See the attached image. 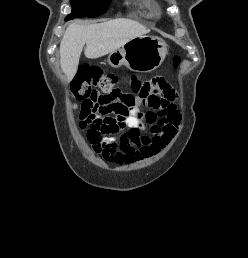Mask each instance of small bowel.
I'll list each match as a JSON object with an SVG mask.
<instances>
[{
	"instance_id": "1",
	"label": "small bowel",
	"mask_w": 248,
	"mask_h": 258,
	"mask_svg": "<svg viewBox=\"0 0 248 258\" xmlns=\"http://www.w3.org/2000/svg\"><path fill=\"white\" fill-rule=\"evenodd\" d=\"M114 95L117 103L131 114L125 127L110 132H121L119 137L90 140L93 150L103 160L118 165L130 164L156 156L170 144L178 131L180 115L174 104L176 94L164 80L154 78L146 82L137 95L118 92ZM81 123L86 130L88 122L84 109L81 110Z\"/></svg>"
}]
</instances>
